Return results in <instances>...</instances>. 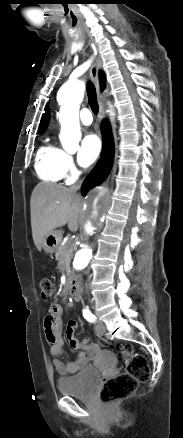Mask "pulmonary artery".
<instances>
[{
  "label": "pulmonary artery",
  "mask_w": 183,
  "mask_h": 438,
  "mask_svg": "<svg viewBox=\"0 0 183 438\" xmlns=\"http://www.w3.org/2000/svg\"><path fill=\"white\" fill-rule=\"evenodd\" d=\"M80 120L84 125H90L93 120L91 111L87 108H83L80 111Z\"/></svg>",
  "instance_id": "pulmonary-artery-1"
}]
</instances>
